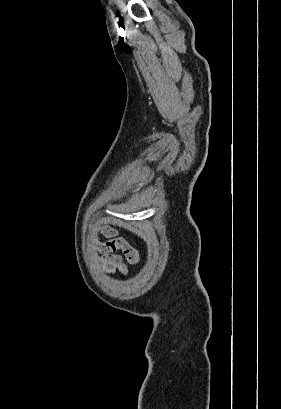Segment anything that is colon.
<instances>
[{
	"label": "colon",
	"instance_id": "obj_1",
	"mask_svg": "<svg viewBox=\"0 0 281 409\" xmlns=\"http://www.w3.org/2000/svg\"><path fill=\"white\" fill-rule=\"evenodd\" d=\"M124 249H132L131 247H129V246H125L124 247Z\"/></svg>",
	"mask_w": 281,
	"mask_h": 409
}]
</instances>
